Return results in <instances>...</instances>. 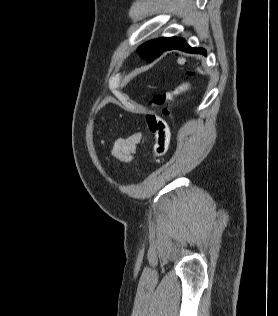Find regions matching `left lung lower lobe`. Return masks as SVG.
<instances>
[{"label": "left lung lower lobe", "mask_w": 278, "mask_h": 316, "mask_svg": "<svg viewBox=\"0 0 278 316\" xmlns=\"http://www.w3.org/2000/svg\"><path fill=\"white\" fill-rule=\"evenodd\" d=\"M173 49H177V50H181V51L189 52V53L203 54L206 56V50L202 48H192L185 42L183 38H179V37H174L172 41L166 46L164 51L173 50Z\"/></svg>", "instance_id": "obj_1"}]
</instances>
